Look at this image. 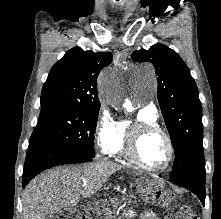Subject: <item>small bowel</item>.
Masks as SVG:
<instances>
[{
  "label": "small bowel",
  "mask_w": 221,
  "mask_h": 219,
  "mask_svg": "<svg viewBox=\"0 0 221 219\" xmlns=\"http://www.w3.org/2000/svg\"><path fill=\"white\" fill-rule=\"evenodd\" d=\"M140 219H159V218L154 212L146 211L141 215Z\"/></svg>",
  "instance_id": "obj_1"
}]
</instances>
